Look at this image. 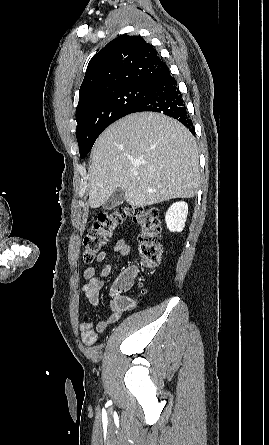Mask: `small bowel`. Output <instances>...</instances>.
<instances>
[{
    "label": "small bowel",
    "instance_id": "small-bowel-1",
    "mask_svg": "<svg viewBox=\"0 0 269 445\" xmlns=\"http://www.w3.org/2000/svg\"><path fill=\"white\" fill-rule=\"evenodd\" d=\"M114 251L121 257H130L132 255L131 245L124 239H120L115 243ZM106 258V252H101L96 260L103 265L100 268L90 266L83 271V277L87 280L81 287V291L86 300L83 312L85 320L79 324V330L81 332V339L87 346L95 344L100 333H103L109 325L115 323L125 311L132 310L136 306L135 299L122 296L113 291L114 297L109 302V313L95 322L90 319L88 310L99 304L101 289L106 277L111 272V266L105 263ZM136 273L137 271L135 267H129L117 278V280L127 275L131 276L134 280Z\"/></svg>",
    "mask_w": 269,
    "mask_h": 445
}]
</instances>
